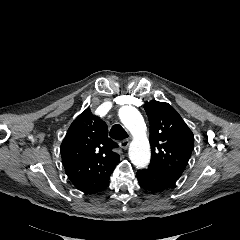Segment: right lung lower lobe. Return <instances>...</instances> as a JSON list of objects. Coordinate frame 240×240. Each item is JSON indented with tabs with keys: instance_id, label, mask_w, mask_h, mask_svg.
Returning a JSON list of instances; mask_svg holds the SVG:
<instances>
[{
	"instance_id": "98d812e1",
	"label": "right lung lower lobe",
	"mask_w": 240,
	"mask_h": 240,
	"mask_svg": "<svg viewBox=\"0 0 240 240\" xmlns=\"http://www.w3.org/2000/svg\"><path fill=\"white\" fill-rule=\"evenodd\" d=\"M107 186H108V185H107ZM107 186H106V187H107ZM106 187H104L102 190H104ZM102 190H101V191H102Z\"/></svg>"
}]
</instances>
